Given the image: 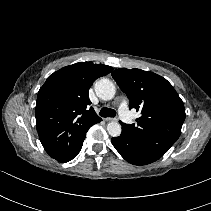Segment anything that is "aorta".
Wrapping results in <instances>:
<instances>
[{
    "instance_id": "762f6f07",
    "label": "aorta",
    "mask_w": 211,
    "mask_h": 211,
    "mask_svg": "<svg viewBox=\"0 0 211 211\" xmlns=\"http://www.w3.org/2000/svg\"><path fill=\"white\" fill-rule=\"evenodd\" d=\"M94 88L97 96L106 101L111 100L116 93L115 85L107 78L98 80ZM107 131L112 137H118L121 134V125L118 122L111 121L107 124Z\"/></svg>"
}]
</instances>
